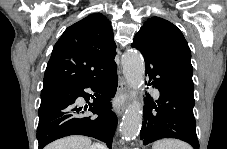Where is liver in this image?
Returning a JSON list of instances; mask_svg holds the SVG:
<instances>
[{
    "mask_svg": "<svg viewBox=\"0 0 227 149\" xmlns=\"http://www.w3.org/2000/svg\"><path fill=\"white\" fill-rule=\"evenodd\" d=\"M90 147L91 140L88 137L74 135L56 140L45 149H90Z\"/></svg>",
    "mask_w": 227,
    "mask_h": 149,
    "instance_id": "liver-1",
    "label": "liver"
}]
</instances>
